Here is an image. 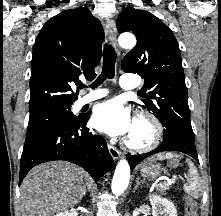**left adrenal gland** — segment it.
I'll list each match as a JSON object with an SVG mask.
<instances>
[{
    "label": "left adrenal gland",
    "mask_w": 221,
    "mask_h": 216,
    "mask_svg": "<svg viewBox=\"0 0 221 216\" xmlns=\"http://www.w3.org/2000/svg\"><path fill=\"white\" fill-rule=\"evenodd\" d=\"M140 184H141L140 178L137 177V178H136V185H135L134 188H133V192L136 191L137 187H138Z\"/></svg>",
    "instance_id": "left-adrenal-gland-1"
}]
</instances>
